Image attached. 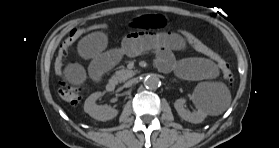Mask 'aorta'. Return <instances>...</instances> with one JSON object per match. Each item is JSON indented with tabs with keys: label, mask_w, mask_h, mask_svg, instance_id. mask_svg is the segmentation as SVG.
<instances>
[{
	"label": "aorta",
	"mask_w": 279,
	"mask_h": 148,
	"mask_svg": "<svg viewBox=\"0 0 279 148\" xmlns=\"http://www.w3.org/2000/svg\"><path fill=\"white\" fill-rule=\"evenodd\" d=\"M160 80L155 74H150L145 77L144 85L149 89H156L159 86Z\"/></svg>",
	"instance_id": "762f6f07"
}]
</instances>
